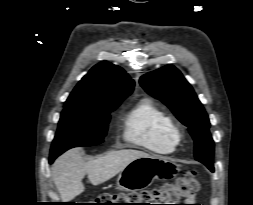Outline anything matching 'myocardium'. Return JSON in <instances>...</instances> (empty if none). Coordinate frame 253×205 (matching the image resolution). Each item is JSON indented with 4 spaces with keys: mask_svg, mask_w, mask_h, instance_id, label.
Instances as JSON below:
<instances>
[{
    "mask_svg": "<svg viewBox=\"0 0 253 205\" xmlns=\"http://www.w3.org/2000/svg\"><path fill=\"white\" fill-rule=\"evenodd\" d=\"M173 133H174V136L176 137V139L179 141V139L181 137L180 130L177 127H174Z\"/></svg>",
    "mask_w": 253,
    "mask_h": 205,
    "instance_id": "myocardium-1",
    "label": "myocardium"
}]
</instances>
